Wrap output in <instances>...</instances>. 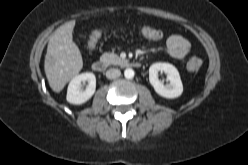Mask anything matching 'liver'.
<instances>
[{
	"mask_svg": "<svg viewBox=\"0 0 248 165\" xmlns=\"http://www.w3.org/2000/svg\"><path fill=\"white\" fill-rule=\"evenodd\" d=\"M75 21L60 26L52 34L45 56L44 69L51 89L59 93L83 67L78 46L73 42Z\"/></svg>",
	"mask_w": 248,
	"mask_h": 165,
	"instance_id": "6515ba94",
	"label": "liver"
}]
</instances>
